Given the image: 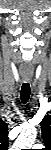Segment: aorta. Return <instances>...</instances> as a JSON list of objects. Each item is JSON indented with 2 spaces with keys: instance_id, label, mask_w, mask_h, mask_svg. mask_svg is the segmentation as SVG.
<instances>
[{
  "instance_id": "1",
  "label": "aorta",
  "mask_w": 51,
  "mask_h": 150,
  "mask_svg": "<svg viewBox=\"0 0 51 150\" xmlns=\"http://www.w3.org/2000/svg\"><path fill=\"white\" fill-rule=\"evenodd\" d=\"M37 131L35 128L28 129L21 133L14 143V150L29 149L35 142Z\"/></svg>"
}]
</instances>
